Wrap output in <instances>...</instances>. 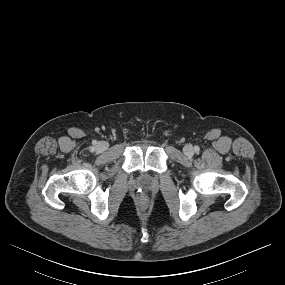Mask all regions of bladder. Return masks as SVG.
<instances>
[{"instance_id": "obj_1", "label": "bladder", "mask_w": 285, "mask_h": 285, "mask_svg": "<svg viewBox=\"0 0 285 285\" xmlns=\"http://www.w3.org/2000/svg\"><path fill=\"white\" fill-rule=\"evenodd\" d=\"M143 182H144V183H147V181H145V180H144Z\"/></svg>"}]
</instances>
